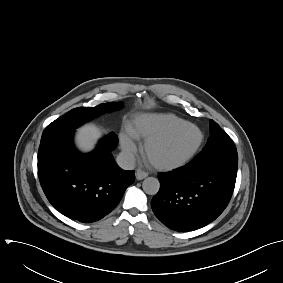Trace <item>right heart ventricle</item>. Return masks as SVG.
Listing matches in <instances>:
<instances>
[{
  "label": "right heart ventricle",
  "instance_id": "obj_1",
  "mask_svg": "<svg viewBox=\"0 0 283 283\" xmlns=\"http://www.w3.org/2000/svg\"><path fill=\"white\" fill-rule=\"evenodd\" d=\"M182 121L184 120L171 113H143L128 121L126 131L131 138L145 141Z\"/></svg>",
  "mask_w": 283,
  "mask_h": 283
}]
</instances>
